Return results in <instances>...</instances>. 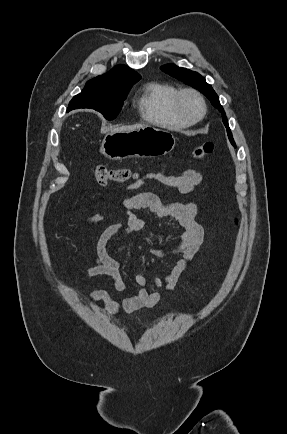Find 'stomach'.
I'll return each mask as SVG.
<instances>
[{"instance_id": "1", "label": "stomach", "mask_w": 287, "mask_h": 434, "mask_svg": "<svg viewBox=\"0 0 287 434\" xmlns=\"http://www.w3.org/2000/svg\"><path fill=\"white\" fill-rule=\"evenodd\" d=\"M175 147V137L169 131L144 126L133 131L109 132L100 151L111 160L149 158L166 155Z\"/></svg>"}]
</instances>
